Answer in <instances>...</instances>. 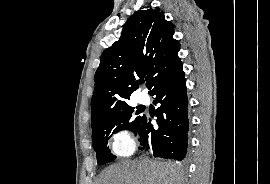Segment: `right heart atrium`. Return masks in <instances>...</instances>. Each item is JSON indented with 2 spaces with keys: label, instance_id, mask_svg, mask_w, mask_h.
Listing matches in <instances>:
<instances>
[{
  "label": "right heart atrium",
  "instance_id": "d8ad5b80",
  "mask_svg": "<svg viewBox=\"0 0 270 184\" xmlns=\"http://www.w3.org/2000/svg\"><path fill=\"white\" fill-rule=\"evenodd\" d=\"M113 152L120 157L130 156L136 147L135 138L128 127L120 126L111 135Z\"/></svg>",
  "mask_w": 270,
  "mask_h": 184
}]
</instances>
